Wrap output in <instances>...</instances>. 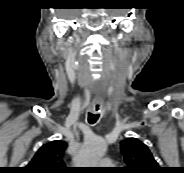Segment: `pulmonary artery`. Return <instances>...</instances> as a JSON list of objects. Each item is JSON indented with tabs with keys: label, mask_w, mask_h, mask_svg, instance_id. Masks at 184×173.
<instances>
[{
	"label": "pulmonary artery",
	"mask_w": 184,
	"mask_h": 173,
	"mask_svg": "<svg viewBox=\"0 0 184 173\" xmlns=\"http://www.w3.org/2000/svg\"><path fill=\"white\" fill-rule=\"evenodd\" d=\"M99 164L102 166L108 167V166H111L113 164V162L110 159L105 158L102 161H100Z\"/></svg>",
	"instance_id": "obj_1"
}]
</instances>
